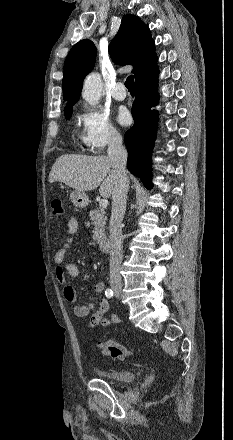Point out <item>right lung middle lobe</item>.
Listing matches in <instances>:
<instances>
[{"label": "right lung middle lobe", "mask_w": 233, "mask_h": 440, "mask_svg": "<svg viewBox=\"0 0 233 440\" xmlns=\"http://www.w3.org/2000/svg\"><path fill=\"white\" fill-rule=\"evenodd\" d=\"M64 114H65V118H66L67 120H69V119L71 118V114H72V106L67 107V108L64 110Z\"/></svg>", "instance_id": "right-lung-middle-lobe-1"}]
</instances>
